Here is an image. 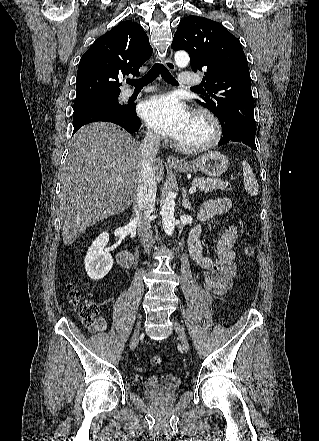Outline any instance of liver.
I'll use <instances>...</instances> for the list:
<instances>
[{
    "label": "liver",
    "mask_w": 319,
    "mask_h": 441,
    "mask_svg": "<svg viewBox=\"0 0 319 441\" xmlns=\"http://www.w3.org/2000/svg\"><path fill=\"white\" fill-rule=\"evenodd\" d=\"M141 146L121 127L94 122L72 137L61 169L60 214L63 243L71 245L88 227L127 209L136 199ZM157 181L164 166L153 162ZM120 176L123 181L118 182Z\"/></svg>",
    "instance_id": "6515ba94"
}]
</instances>
